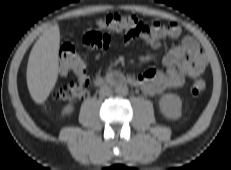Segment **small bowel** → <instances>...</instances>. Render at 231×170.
<instances>
[{"label":"small bowel","instance_id":"c3829d8e","mask_svg":"<svg viewBox=\"0 0 231 170\" xmlns=\"http://www.w3.org/2000/svg\"><path fill=\"white\" fill-rule=\"evenodd\" d=\"M181 34L182 29L175 22L167 25L155 22L146 26L144 32L137 37L149 47L158 48L163 39H178ZM112 35L113 33L107 31H91L85 34L83 43L91 49L103 51L110 46ZM132 38L123 35L122 41L129 44ZM163 66V69H149L130 75L127 77L129 83L139 86L150 95L178 89L184 85L187 78H194L204 71L206 59L198 43L192 37L186 36L165 55Z\"/></svg>","mask_w":231,"mask_h":170}]
</instances>
